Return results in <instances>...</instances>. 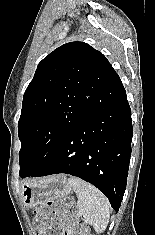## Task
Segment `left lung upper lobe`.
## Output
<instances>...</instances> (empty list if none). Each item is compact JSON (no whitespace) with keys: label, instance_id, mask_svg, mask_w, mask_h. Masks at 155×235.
I'll return each instance as SVG.
<instances>
[{"label":"left lung upper lobe","instance_id":"5c2ea615","mask_svg":"<svg viewBox=\"0 0 155 235\" xmlns=\"http://www.w3.org/2000/svg\"><path fill=\"white\" fill-rule=\"evenodd\" d=\"M115 73L105 56L84 42L66 43L39 63L18 122L20 177L45 166Z\"/></svg>","mask_w":155,"mask_h":235}]
</instances>
